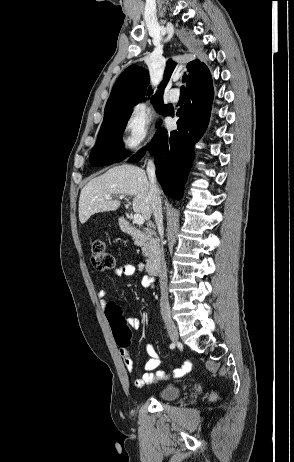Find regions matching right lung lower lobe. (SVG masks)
I'll list each match as a JSON object with an SVG mask.
<instances>
[{
    "label": "right lung lower lobe",
    "instance_id": "1",
    "mask_svg": "<svg viewBox=\"0 0 294 462\" xmlns=\"http://www.w3.org/2000/svg\"><path fill=\"white\" fill-rule=\"evenodd\" d=\"M213 85L210 73L187 86V99L177 111L180 119L177 130L167 132L160 128L152 139L149 149L154 155L156 175L163 191L170 197L180 199L184 183L194 158V144L205 132L213 101ZM145 154V148L128 161L137 162Z\"/></svg>",
    "mask_w": 294,
    "mask_h": 462
}]
</instances>
